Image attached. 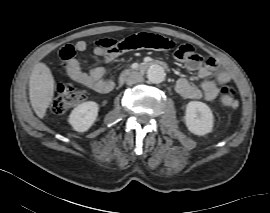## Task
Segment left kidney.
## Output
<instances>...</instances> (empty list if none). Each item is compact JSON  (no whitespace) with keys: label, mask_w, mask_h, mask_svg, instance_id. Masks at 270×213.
Wrapping results in <instances>:
<instances>
[{"label":"left kidney","mask_w":270,"mask_h":213,"mask_svg":"<svg viewBox=\"0 0 270 213\" xmlns=\"http://www.w3.org/2000/svg\"><path fill=\"white\" fill-rule=\"evenodd\" d=\"M185 124L191 133L203 136L212 132L214 116L205 103L190 101L186 106Z\"/></svg>","instance_id":"5707ae66"}]
</instances>
